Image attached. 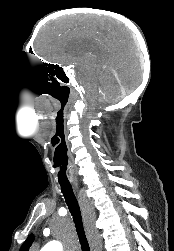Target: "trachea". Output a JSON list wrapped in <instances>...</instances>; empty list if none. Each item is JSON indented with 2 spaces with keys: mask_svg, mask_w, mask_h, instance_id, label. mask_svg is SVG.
<instances>
[{
  "mask_svg": "<svg viewBox=\"0 0 174 251\" xmlns=\"http://www.w3.org/2000/svg\"><path fill=\"white\" fill-rule=\"evenodd\" d=\"M61 191L65 197L70 213L73 216L76 231L79 237L82 251H90L89 243L85 235L82 216L76 197L69 182H59Z\"/></svg>",
  "mask_w": 174,
  "mask_h": 251,
  "instance_id": "trachea-1",
  "label": "trachea"
}]
</instances>
